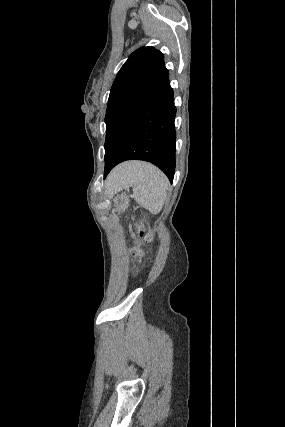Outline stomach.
<instances>
[{
    "label": "stomach",
    "mask_w": 285,
    "mask_h": 427,
    "mask_svg": "<svg viewBox=\"0 0 285 427\" xmlns=\"http://www.w3.org/2000/svg\"><path fill=\"white\" fill-rule=\"evenodd\" d=\"M113 203H114L113 211L120 214L128 208L129 197L125 193L117 194L113 198Z\"/></svg>",
    "instance_id": "0dacf381"
}]
</instances>
